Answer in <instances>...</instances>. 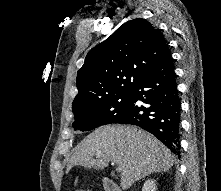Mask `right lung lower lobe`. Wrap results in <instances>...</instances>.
I'll use <instances>...</instances> for the list:
<instances>
[{"label":"right lung lower lobe","instance_id":"right-lung-lower-lobe-1","mask_svg":"<svg viewBox=\"0 0 221 191\" xmlns=\"http://www.w3.org/2000/svg\"><path fill=\"white\" fill-rule=\"evenodd\" d=\"M132 92L129 110L117 123L133 124L149 131L179 155L181 102L171 53L152 68ZM138 100L144 105L137 104Z\"/></svg>","mask_w":221,"mask_h":191}]
</instances>
